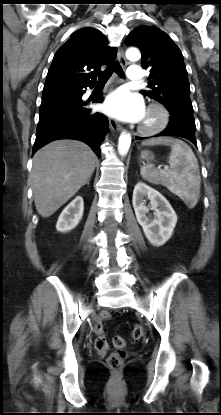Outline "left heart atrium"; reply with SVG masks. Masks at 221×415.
<instances>
[{"mask_svg":"<svg viewBox=\"0 0 221 415\" xmlns=\"http://www.w3.org/2000/svg\"><path fill=\"white\" fill-rule=\"evenodd\" d=\"M103 109L107 115L125 122H140L146 113L142 98L126 88H119L109 94Z\"/></svg>","mask_w":221,"mask_h":415,"instance_id":"obj_1","label":"left heart atrium"}]
</instances>
